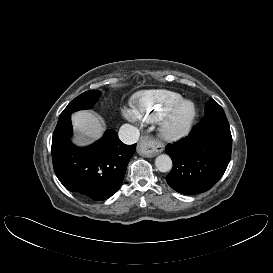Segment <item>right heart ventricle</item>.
I'll return each instance as SVG.
<instances>
[{
	"instance_id": "right-heart-ventricle-1",
	"label": "right heart ventricle",
	"mask_w": 273,
	"mask_h": 273,
	"mask_svg": "<svg viewBox=\"0 0 273 273\" xmlns=\"http://www.w3.org/2000/svg\"><path fill=\"white\" fill-rule=\"evenodd\" d=\"M182 100V95L174 91L146 90L137 93L133 97L132 104L141 120L155 123Z\"/></svg>"
}]
</instances>
